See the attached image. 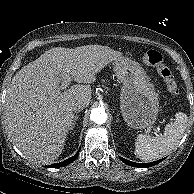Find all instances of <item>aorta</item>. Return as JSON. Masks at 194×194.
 Here are the masks:
<instances>
[{
  "mask_svg": "<svg viewBox=\"0 0 194 194\" xmlns=\"http://www.w3.org/2000/svg\"><path fill=\"white\" fill-rule=\"evenodd\" d=\"M90 119L96 124H104L107 120V113L103 107L94 108L91 111Z\"/></svg>",
  "mask_w": 194,
  "mask_h": 194,
  "instance_id": "aorta-1",
  "label": "aorta"
}]
</instances>
